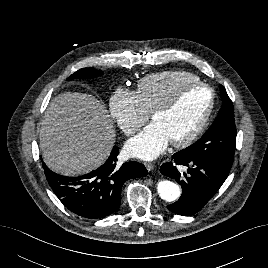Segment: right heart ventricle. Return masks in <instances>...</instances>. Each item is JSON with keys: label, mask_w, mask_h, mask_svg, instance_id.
<instances>
[{"label": "right heart ventricle", "mask_w": 268, "mask_h": 268, "mask_svg": "<svg viewBox=\"0 0 268 268\" xmlns=\"http://www.w3.org/2000/svg\"><path fill=\"white\" fill-rule=\"evenodd\" d=\"M200 81L199 77L184 70H165L151 73L137 83V92L147 111L162 105L183 84Z\"/></svg>", "instance_id": "right-heart-ventricle-1"}]
</instances>
